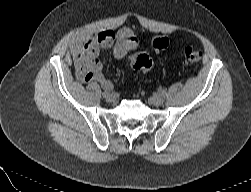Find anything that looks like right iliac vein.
Masks as SVG:
<instances>
[{
    "mask_svg": "<svg viewBox=\"0 0 251 192\" xmlns=\"http://www.w3.org/2000/svg\"><path fill=\"white\" fill-rule=\"evenodd\" d=\"M106 100H107L108 102H114V101L116 100V98H115V96H114L113 94H108V95L106 96Z\"/></svg>",
    "mask_w": 251,
    "mask_h": 192,
    "instance_id": "right-iliac-vein-1",
    "label": "right iliac vein"
}]
</instances>
